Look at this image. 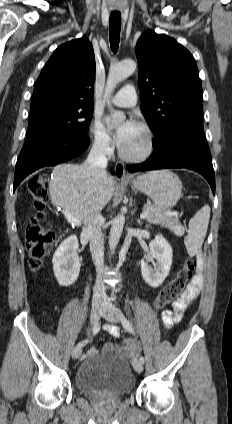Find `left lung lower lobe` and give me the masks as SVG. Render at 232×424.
I'll return each instance as SVG.
<instances>
[{
    "mask_svg": "<svg viewBox=\"0 0 232 424\" xmlns=\"http://www.w3.org/2000/svg\"><path fill=\"white\" fill-rule=\"evenodd\" d=\"M153 148L150 159L133 165L130 172L187 168L203 175L215 194V174L202 120L177 124L161 142L153 143Z\"/></svg>",
    "mask_w": 232,
    "mask_h": 424,
    "instance_id": "obj_1",
    "label": "left lung lower lobe"
}]
</instances>
